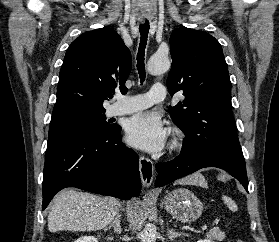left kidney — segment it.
Wrapping results in <instances>:
<instances>
[{
  "label": "left kidney",
  "instance_id": "5707ae66",
  "mask_svg": "<svg viewBox=\"0 0 279 242\" xmlns=\"http://www.w3.org/2000/svg\"><path fill=\"white\" fill-rule=\"evenodd\" d=\"M197 242H211V240H208V239H204V240H199Z\"/></svg>",
  "mask_w": 279,
  "mask_h": 242
}]
</instances>
